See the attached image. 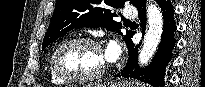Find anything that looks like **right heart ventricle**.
Instances as JSON below:
<instances>
[{
  "label": "right heart ventricle",
  "mask_w": 205,
  "mask_h": 87,
  "mask_svg": "<svg viewBox=\"0 0 205 87\" xmlns=\"http://www.w3.org/2000/svg\"><path fill=\"white\" fill-rule=\"evenodd\" d=\"M49 75H50L51 82L55 85H63L66 83L64 80L56 76V74L53 72L52 67H51V60L49 62Z\"/></svg>",
  "instance_id": "e07e8e85"
}]
</instances>
